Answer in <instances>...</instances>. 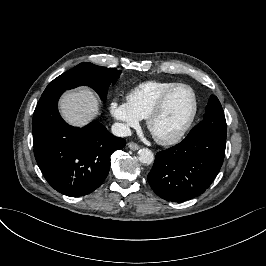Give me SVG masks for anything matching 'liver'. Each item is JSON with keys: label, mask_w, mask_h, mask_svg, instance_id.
Masks as SVG:
<instances>
[{"label": "liver", "mask_w": 266, "mask_h": 266, "mask_svg": "<svg viewBox=\"0 0 266 266\" xmlns=\"http://www.w3.org/2000/svg\"><path fill=\"white\" fill-rule=\"evenodd\" d=\"M60 112L70 125L83 127L99 114V101L88 87L67 91L59 102Z\"/></svg>", "instance_id": "6515ba94"}]
</instances>
